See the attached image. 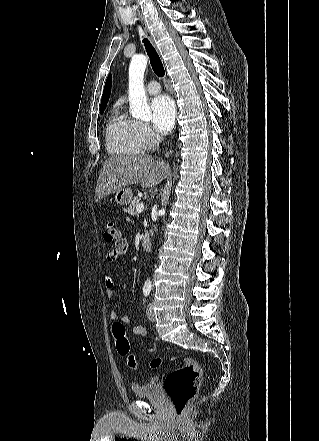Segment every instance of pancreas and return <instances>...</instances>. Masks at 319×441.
I'll list each match as a JSON object with an SVG mask.
<instances>
[{"mask_svg": "<svg viewBox=\"0 0 319 441\" xmlns=\"http://www.w3.org/2000/svg\"><path fill=\"white\" fill-rule=\"evenodd\" d=\"M140 203V199L138 197H134L133 200L130 202L128 208L126 209V212L129 215L136 214V206Z\"/></svg>", "mask_w": 319, "mask_h": 441, "instance_id": "obj_1", "label": "pancreas"}]
</instances>
